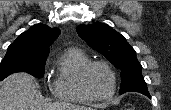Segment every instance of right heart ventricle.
Returning a JSON list of instances; mask_svg holds the SVG:
<instances>
[{"mask_svg": "<svg viewBox=\"0 0 171 110\" xmlns=\"http://www.w3.org/2000/svg\"><path fill=\"white\" fill-rule=\"evenodd\" d=\"M90 61L88 55L79 48H69L61 53L50 85L56 99L74 103L92 101L84 94L79 84L81 70Z\"/></svg>", "mask_w": 171, "mask_h": 110, "instance_id": "e07e8e85", "label": "right heart ventricle"}]
</instances>
